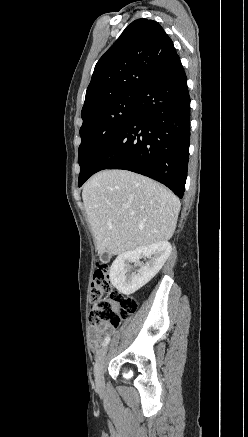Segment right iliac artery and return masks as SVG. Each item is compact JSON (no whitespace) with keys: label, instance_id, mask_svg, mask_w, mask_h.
<instances>
[{"label":"right iliac artery","instance_id":"obj_1","mask_svg":"<svg viewBox=\"0 0 248 437\" xmlns=\"http://www.w3.org/2000/svg\"><path fill=\"white\" fill-rule=\"evenodd\" d=\"M109 342H110V337L107 336V337L104 339V341H103V343H102V346L105 347Z\"/></svg>","mask_w":248,"mask_h":437}]
</instances>
